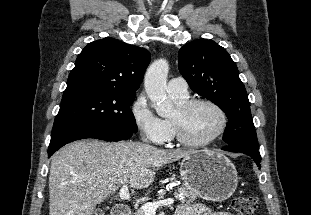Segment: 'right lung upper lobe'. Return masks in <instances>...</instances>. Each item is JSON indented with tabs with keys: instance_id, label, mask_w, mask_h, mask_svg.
Returning a JSON list of instances; mask_svg holds the SVG:
<instances>
[{
	"instance_id": "cb5924a9",
	"label": "right lung upper lobe",
	"mask_w": 311,
	"mask_h": 215,
	"mask_svg": "<svg viewBox=\"0 0 311 215\" xmlns=\"http://www.w3.org/2000/svg\"><path fill=\"white\" fill-rule=\"evenodd\" d=\"M150 59L148 50L114 38L91 42L78 55L67 87L87 84L135 93Z\"/></svg>"
}]
</instances>
